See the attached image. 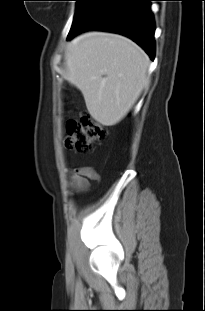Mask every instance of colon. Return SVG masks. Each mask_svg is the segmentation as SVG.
I'll return each mask as SVG.
<instances>
[{
    "instance_id": "5ec220e1",
    "label": "colon",
    "mask_w": 205,
    "mask_h": 311,
    "mask_svg": "<svg viewBox=\"0 0 205 311\" xmlns=\"http://www.w3.org/2000/svg\"><path fill=\"white\" fill-rule=\"evenodd\" d=\"M66 129V146L80 153L90 152L93 143L106 136L104 126L87 115H81L78 120H69Z\"/></svg>"
}]
</instances>
